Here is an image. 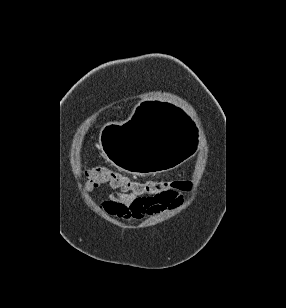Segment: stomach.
<instances>
[{
	"mask_svg": "<svg viewBox=\"0 0 286 308\" xmlns=\"http://www.w3.org/2000/svg\"><path fill=\"white\" fill-rule=\"evenodd\" d=\"M181 107H161V100H138L134 118L100 122L101 151L112 165L144 177L177 173L183 159H194L201 142H194L198 125Z\"/></svg>",
	"mask_w": 286,
	"mask_h": 308,
	"instance_id": "obj_1",
	"label": "stomach"
}]
</instances>
